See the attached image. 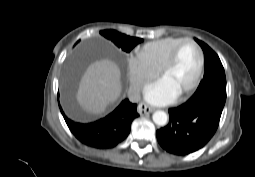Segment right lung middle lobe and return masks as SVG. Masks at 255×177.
Returning a JSON list of instances; mask_svg holds the SVG:
<instances>
[{
    "label": "right lung middle lobe",
    "mask_w": 255,
    "mask_h": 177,
    "mask_svg": "<svg viewBox=\"0 0 255 177\" xmlns=\"http://www.w3.org/2000/svg\"><path fill=\"white\" fill-rule=\"evenodd\" d=\"M100 34L106 39L111 40L116 46L124 50L125 52H130L133 47L141 43L143 39L130 37L125 34L119 33L116 30H103Z\"/></svg>",
    "instance_id": "obj_1"
}]
</instances>
